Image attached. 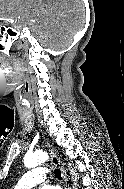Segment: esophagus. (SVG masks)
Wrapping results in <instances>:
<instances>
[{
	"label": "esophagus",
	"mask_w": 124,
	"mask_h": 189,
	"mask_svg": "<svg viewBox=\"0 0 124 189\" xmlns=\"http://www.w3.org/2000/svg\"><path fill=\"white\" fill-rule=\"evenodd\" d=\"M46 147L50 153V156H51V162L56 165L60 171H61V174H62V179H63V183H64V189H70L67 185V181H68V178H67V173L64 169V166L61 164L59 158L57 157L54 149L51 147L50 143L49 142H46Z\"/></svg>",
	"instance_id": "obj_1"
}]
</instances>
